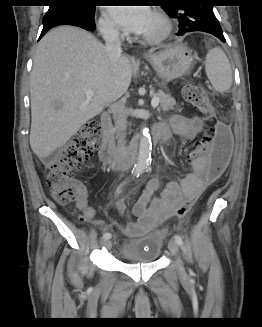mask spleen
Masks as SVG:
<instances>
[{"label":"spleen","mask_w":262,"mask_h":327,"mask_svg":"<svg viewBox=\"0 0 262 327\" xmlns=\"http://www.w3.org/2000/svg\"><path fill=\"white\" fill-rule=\"evenodd\" d=\"M205 72L215 91L223 93L232 85V70L222 49L216 47L206 55Z\"/></svg>","instance_id":"spleen-1"}]
</instances>
